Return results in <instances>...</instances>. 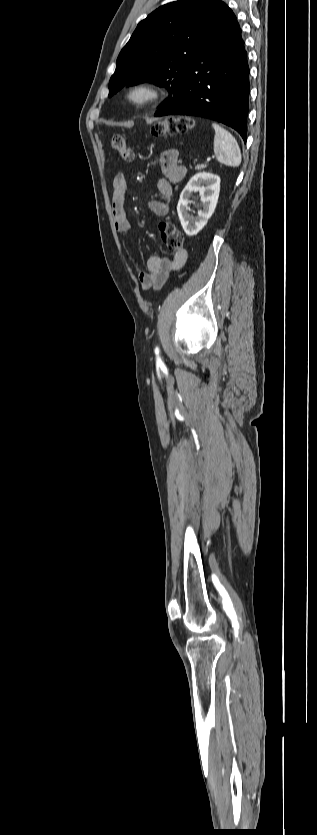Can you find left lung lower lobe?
Segmentation results:
<instances>
[{
	"label": "left lung lower lobe",
	"mask_w": 317,
	"mask_h": 835,
	"mask_svg": "<svg viewBox=\"0 0 317 835\" xmlns=\"http://www.w3.org/2000/svg\"><path fill=\"white\" fill-rule=\"evenodd\" d=\"M249 89L247 52L229 8L189 66L177 100L161 107L155 116L212 119L236 130L246 142Z\"/></svg>",
	"instance_id": "obj_1"
}]
</instances>
